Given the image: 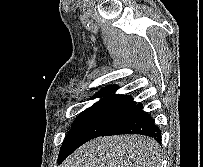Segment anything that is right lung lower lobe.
I'll list each match as a JSON object with an SVG mask.
<instances>
[{"instance_id":"right-lung-lower-lobe-1","label":"right lung lower lobe","mask_w":203,"mask_h":167,"mask_svg":"<svg viewBox=\"0 0 203 167\" xmlns=\"http://www.w3.org/2000/svg\"><path fill=\"white\" fill-rule=\"evenodd\" d=\"M118 134H141L161 142V130L155 125L154 119L142 110V104H135L116 124L101 136ZM70 153L64 146L61 147L58 162L61 163Z\"/></svg>"}]
</instances>
